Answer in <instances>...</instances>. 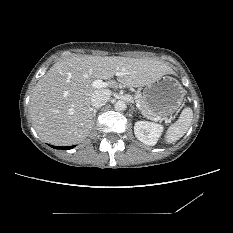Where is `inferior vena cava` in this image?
Returning <instances> with one entry per match:
<instances>
[{
	"instance_id": "1",
	"label": "inferior vena cava",
	"mask_w": 233,
	"mask_h": 233,
	"mask_svg": "<svg viewBox=\"0 0 233 233\" xmlns=\"http://www.w3.org/2000/svg\"><path fill=\"white\" fill-rule=\"evenodd\" d=\"M111 92L108 89L95 91L91 96V105L95 108H100L110 99Z\"/></svg>"
}]
</instances>
